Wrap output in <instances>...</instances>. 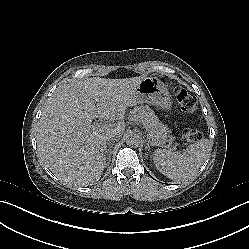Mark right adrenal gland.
Listing matches in <instances>:
<instances>
[{
	"instance_id": "2a0ac1e0",
	"label": "right adrenal gland",
	"mask_w": 249,
	"mask_h": 249,
	"mask_svg": "<svg viewBox=\"0 0 249 249\" xmlns=\"http://www.w3.org/2000/svg\"><path fill=\"white\" fill-rule=\"evenodd\" d=\"M106 148H107V145L105 146V153L107 152V151H106Z\"/></svg>"
}]
</instances>
